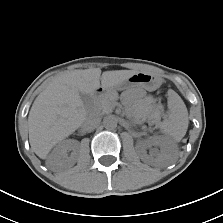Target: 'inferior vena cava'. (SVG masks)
<instances>
[{"label":"inferior vena cava","instance_id":"602c4592","mask_svg":"<svg viewBox=\"0 0 223 223\" xmlns=\"http://www.w3.org/2000/svg\"><path fill=\"white\" fill-rule=\"evenodd\" d=\"M101 122V119L99 117H96V116H89L83 126L85 129L89 130V129H95L99 126Z\"/></svg>","mask_w":223,"mask_h":223}]
</instances>
